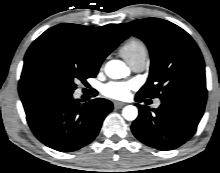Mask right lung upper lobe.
<instances>
[{
  "label": "right lung upper lobe",
  "mask_w": 220,
  "mask_h": 173,
  "mask_svg": "<svg viewBox=\"0 0 220 173\" xmlns=\"http://www.w3.org/2000/svg\"><path fill=\"white\" fill-rule=\"evenodd\" d=\"M128 34L115 24L87 27L63 23L39 36L29 47L19 81V94L24 97L44 91L49 67L62 60L99 70L103 60Z\"/></svg>",
  "instance_id": "cb5924a9"
}]
</instances>
